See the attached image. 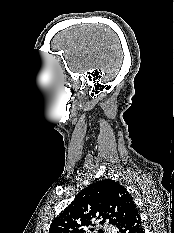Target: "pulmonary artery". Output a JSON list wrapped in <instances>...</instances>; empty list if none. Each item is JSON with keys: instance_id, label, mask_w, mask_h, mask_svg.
I'll use <instances>...</instances> for the list:
<instances>
[{"instance_id": "pulmonary-artery-1", "label": "pulmonary artery", "mask_w": 174, "mask_h": 233, "mask_svg": "<svg viewBox=\"0 0 174 233\" xmlns=\"http://www.w3.org/2000/svg\"><path fill=\"white\" fill-rule=\"evenodd\" d=\"M105 233H114V230L110 226H106Z\"/></svg>"}]
</instances>
